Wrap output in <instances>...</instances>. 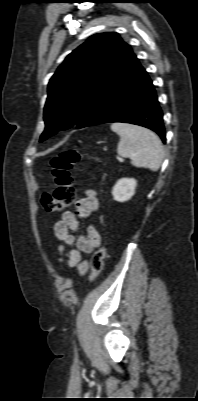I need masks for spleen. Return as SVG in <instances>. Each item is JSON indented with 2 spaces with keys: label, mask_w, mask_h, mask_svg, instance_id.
Here are the masks:
<instances>
[{
  "label": "spleen",
  "mask_w": 198,
  "mask_h": 401,
  "mask_svg": "<svg viewBox=\"0 0 198 401\" xmlns=\"http://www.w3.org/2000/svg\"><path fill=\"white\" fill-rule=\"evenodd\" d=\"M111 130L120 141L117 153L131 159L135 167L157 171L164 159V148L159 137L149 129L126 123H113Z\"/></svg>",
  "instance_id": "spleen-1"
}]
</instances>
